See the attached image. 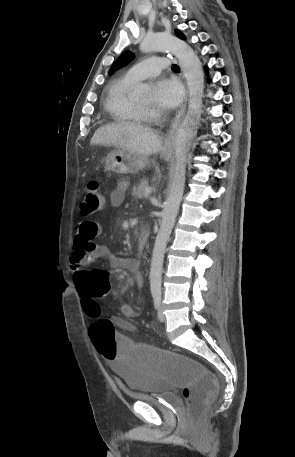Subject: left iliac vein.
I'll list each match as a JSON object with an SVG mask.
<instances>
[{"label":"left iliac vein","instance_id":"obj_1","mask_svg":"<svg viewBox=\"0 0 295 457\" xmlns=\"http://www.w3.org/2000/svg\"><path fill=\"white\" fill-rule=\"evenodd\" d=\"M157 316H158V320L160 322H164L165 321V315L163 314V311H162L161 307H159V309H158Z\"/></svg>","mask_w":295,"mask_h":457}]
</instances>
